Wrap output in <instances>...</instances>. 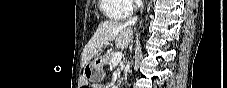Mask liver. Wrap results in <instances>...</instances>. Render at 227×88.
Wrapping results in <instances>:
<instances>
[{"mask_svg": "<svg viewBox=\"0 0 227 88\" xmlns=\"http://www.w3.org/2000/svg\"><path fill=\"white\" fill-rule=\"evenodd\" d=\"M132 35V29L126 27L121 22L108 20L100 23L96 32L84 48L82 55L83 65L87 64L94 55H97L105 45L113 40L117 48H127Z\"/></svg>", "mask_w": 227, "mask_h": 88, "instance_id": "6515ba94", "label": "liver"}]
</instances>
